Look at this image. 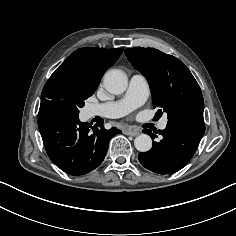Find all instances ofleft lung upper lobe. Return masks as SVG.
Wrapping results in <instances>:
<instances>
[{"label": "left lung upper lobe", "mask_w": 236, "mask_h": 236, "mask_svg": "<svg viewBox=\"0 0 236 236\" xmlns=\"http://www.w3.org/2000/svg\"><path fill=\"white\" fill-rule=\"evenodd\" d=\"M125 54L148 79L157 116L162 112L168 119L185 113L203 114L201 89L183 62L153 48L135 47L126 49Z\"/></svg>", "instance_id": "left-lung-upper-lobe-1"}]
</instances>
